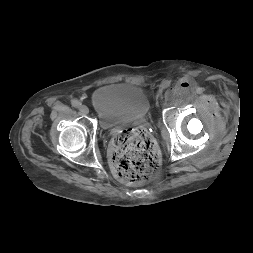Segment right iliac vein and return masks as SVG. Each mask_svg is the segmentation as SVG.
<instances>
[{
	"instance_id": "63e3f726",
	"label": "right iliac vein",
	"mask_w": 253,
	"mask_h": 253,
	"mask_svg": "<svg viewBox=\"0 0 253 253\" xmlns=\"http://www.w3.org/2000/svg\"><path fill=\"white\" fill-rule=\"evenodd\" d=\"M79 112L81 115H87L89 113V109L86 105H81L79 107Z\"/></svg>"
}]
</instances>
